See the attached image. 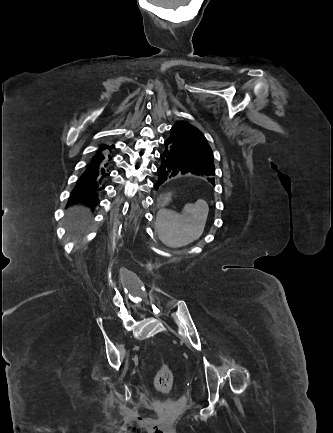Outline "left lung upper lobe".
<instances>
[{"instance_id":"left-lung-upper-lobe-1","label":"left lung upper lobe","mask_w":333,"mask_h":433,"mask_svg":"<svg viewBox=\"0 0 333 433\" xmlns=\"http://www.w3.org/2000/svg\"><path fill=\"white\" fill-rule=\"evenodd\" d=\"M167 140L169 143H177L200 159L214 165L213 152L205 136L188 122H176Z\"/></svg>"}]
</instances>
